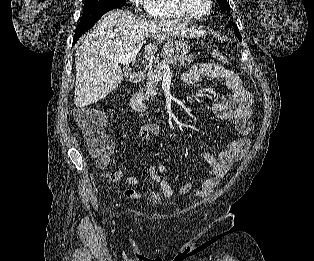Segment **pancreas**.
I'll use <instances>...</instances> for the list:
<instances>
[{
	"instance_id": "cf45deb5",
	"label": "pancreas",
	"mask_w": 314,
	"mask_h": 261,
	"mask_svg": "<svg viewBox=\"0 0 314 261\" xmlns=\"http://www.w3.org/2000/svg\"><path fill=\"white\" fill-rule=\"evenodd\" d=\"M163 61L161 64L165 65H175L176 63H180L181 65H190L193 62L194 57L192 55H179L174 52L169 51V46L167 43L163 47ZM164 69L157 66L155 68H149L146 79V87H145V99L153 100L157 95V86L158 82L162 79L164 74Z\"/></svg>"
}]
</instances>
